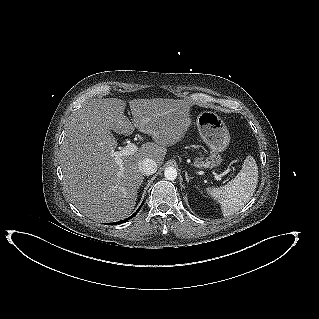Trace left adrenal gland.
I'll list each match as a JSON object with an SVG mask.
<instances>
[{"mask_svg":"<svg viewBox=\"0 0 319 319\" xmlns=\"http://www.w3.org/2000/svg\"><path fill=\"white\" fill-rule=\"evenodd\" d=\"M185 178H186L187 182H189V181H190V179H192L193 177H189V176H188V173H187V172H185Z\"/></svg>","mask_w":319,"mask_h":319,"instance_id":"a2214340","label":"left adrenal gland"}]
</instances>
